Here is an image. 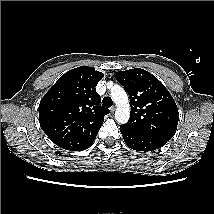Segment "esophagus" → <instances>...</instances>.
Returning a JSON list of instances; mask_svg holds the SVG:
<instances>
[{
    "label": "esophagus",
    "mask_w": 214,
    "mask_h": 214,
    "mask_svg": "<svg viewBox=\"0 0 214 214\" xmlns=\"http://www.w3.org/2000/svg\"><path fill=\"white\" fill-rule=\"evenodd\" d=\"M116 110V107L115 106H112L111 108H110V112H114Z\"/></svg>",
    "instance_id": "esophagus-1"
}]
</instances>
